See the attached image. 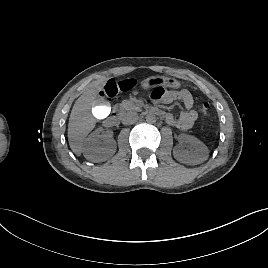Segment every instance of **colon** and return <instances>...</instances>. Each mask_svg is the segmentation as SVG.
<instances>
[{"instance_id":"colon-1","label":"colon","mask_w":268,"mask_h":268,"mask_svg":"<svg viewBox=\"0 0 268 268\" xmlns=\"http://www.w3.org/2000/svg\"><path fill=\"white\" fill-rule=\"evenodd\" d=\"M135 81L132 79H127V80H122V81H115V80H109L102 92L101 96L106 98V99H111L115 97L119 92L121 91H127L135 86ZM208 108L209 104L208 103H203L200 112L206 116L208 113Z\"/></svg>"}]
</instances>
